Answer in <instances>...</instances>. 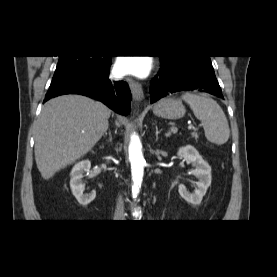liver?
Instances as JSON below:
<instances>
[{
	"mask_svg": "<svg viewBox=\"0 0 277 277\" xmlns=\"http://www.w3.org/2000/svg\"><path fill=\"white\" fill-rule=\"evenodd\" d=\"M110 115L104 104L81 95L45 103L36 124L34 149L41 176L48 180L88 153L108 129Z\"/></svg>",
	"mask_w": 277,
	"mask_h": 277,
	"instance_id": "6515ba94",
	"label": "liver"
}]
</instances>
